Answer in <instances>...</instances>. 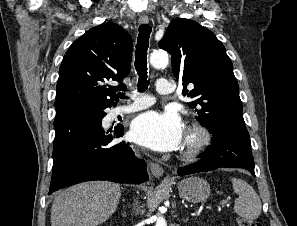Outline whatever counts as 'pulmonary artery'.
Returning <instances> with one entry per match:
<instances>
[{
  "label": "pulmonary artery",
  "instance_id": "1",
  "mask_svg": "<svg viewBox=\"0 0 297 226\" xmlns=\"http://www.w3.org/2000/svg\"><path fill=\"white\" fill-rule=\"evenodd\" d=\"M174 85L165 78H160L156 83V91L160 95H169L173 92ZM155 102L152 97L143 96V97H134V101L127 105H121L113 109V116H119L128 114L140 109L149 107Z\"/></svg>",
  "mask_w": 297,
  "mask_h": 226
}]
</instances>
